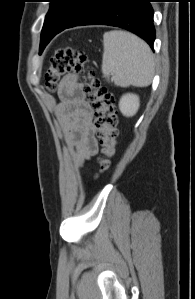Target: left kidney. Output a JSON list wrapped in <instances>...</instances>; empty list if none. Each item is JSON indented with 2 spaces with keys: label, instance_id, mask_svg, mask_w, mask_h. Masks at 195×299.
<instances>
[{
  "label": "left kidney",
  "instance_id": "left-kidney-1",
  "mask_svg": "<svg viewBox=\"0 0 195 299\" xmlns=\"http://www.w3.org/2000/svg\"><path fill=\"white\" fill-rule=\"evenodd\" d=\"M139 108V97L134 94H125L119 102V109L124 116L131 117L136 114Z\"/></svg>",
  "mask_w": 195,
  "mask_h": 299
}]
</instances>
